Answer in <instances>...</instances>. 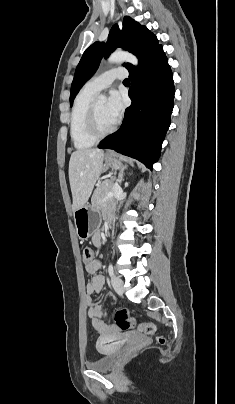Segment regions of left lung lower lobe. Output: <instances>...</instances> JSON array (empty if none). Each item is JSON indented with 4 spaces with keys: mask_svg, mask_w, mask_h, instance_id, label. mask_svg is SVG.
<instances>
[{
    "mask_svg": "<svg viewBox=\"0 0 235 404\" xmlns=\"http://www.w3.org/2000/svg\"><path fill=\"white\" fill-rule=\"evenodd\" d=\"M132 104L120 129L106 137L99 148L113 149L152 169L170 126L175 89L162 46L129 72Z\"/></svg>",
    "mask_w": 235,
    "mask_h": 404,
    "instance_id": "left-lung-lower-lobe-1",
    "label": "left lung lower lobe"
}]
</instances>
